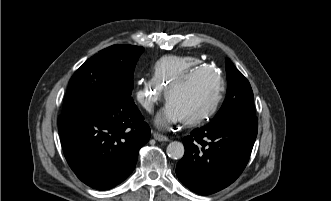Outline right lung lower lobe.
I'll use <instances>...</instances> for the list:
<instances>
[{"label": "right lung lower lobe", "mask_w": 331, "mask_h": 201, "mask_svg": "<svg viewBox=\"0 0 331 201\" xmlns=\"http://www.w3.org/2000/svg\"><path fill=\"white\" fill-rule=\"evenodd\" d=\"M58 126L69 166L99 190L115 187L132 173L151 134L132 97L62 114Z\"/></svg>", "instance_id": "98d812e1"}]
</instances>
